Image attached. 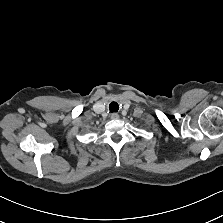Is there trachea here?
<instances>
[{"label":"trachea","instance_id":"1","mask_svg":"<svg viewBox=\"0 0 223 223\" xmlns=\"http://www.w3.org/2000/svg\"><path fill=\"white\" fill-rule=\"evenodd\" d=\"M109 109L111 112H117L119 109L118 103L117 102H111L109 105Z\"/></svg>","mask_w":223,"mask_h":223}]
</instances>
